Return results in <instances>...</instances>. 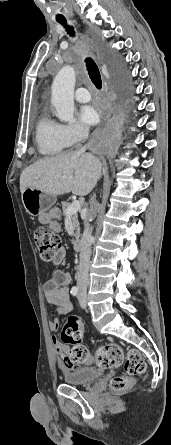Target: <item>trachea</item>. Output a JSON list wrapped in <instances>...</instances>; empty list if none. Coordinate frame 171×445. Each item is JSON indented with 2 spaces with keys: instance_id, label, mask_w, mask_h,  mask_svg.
I'll return each instance as SVG.
<instances>
[{
  "instance_id": "trachea-1",
  "label": "trachea",
  "mask_w": 171,
  "mask_h": 445,
  "mask_svg": "<svg viewBox=\"0 0 171 445\" xmlns=\"http://www.w3.org/2000/svg\"><path fill=\"white\" fill-rule=\"evenodd\" d=\"M58 22L67 28V31L70 35H72V36L74 35L73 28L66 26V20H58ZM85 62H86V67H87L88 74H89L91 81L93 82V84L96 86L97 89H101L102 80H101V75H100L97 65L90 58H87L85 60Z\"/></svg>"
}]
</instances>
